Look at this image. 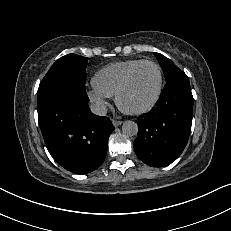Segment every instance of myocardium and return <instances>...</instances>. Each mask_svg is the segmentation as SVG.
<instances>
[{
  "mask_svg": "<svg viewBox=\"0 0 231 231\" xmlns=\"http://www.w3.org/2000/svg\"><path fill=\"white\" fill-rule=\"evenodd\" d=\"M146 64H151L157 69L158 85H157L156 93H155L153 99L144 107H141L139 109H128L122 104V96H123L124 92L126 91V89L128 88V86L130 85L134 74L137 72V70L139 68H141L143 65H146ZM163 82H164V77H163V71H162L161 66L153 60H143L140 63H138L137 65H135L128 72V74L126 75V77L124 78L122 83L120 84V86H119V88L115 94V102H116V104L120 110H122L125 113L131 114V115H141V114H144L146 112H149L150 110H152L155 107V105L157 104V102L160 99L162 89H163Z\"/></svg>",
  "mask_w": 231,
  "mask_h": 231,
  "instance_id": "obj_1",
  "label": "myocardium"
}]
</instances>
